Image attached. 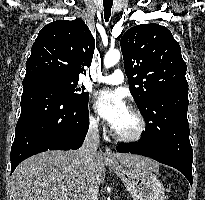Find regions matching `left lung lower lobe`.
<instances>
[{
  "instance_id": "1",
  "label": "left lung lower lobe",
  "mask_w": 205,
  "mask_h": 200,
  "mask_svg": "<svg viewBox=\"0 0 205 200\" xmlns=\"http://www.w3.org/2000/svg\"><path fill=\"white\" fill-rule=\"evenodd\" d=\"M153 108L165 110L153 117L139 142L119 144L118 152H131L151 157L179 170L192 185L193 150L187 120L188 90L173 89L153 97Z\"/></svg>"
}]
</instances>
